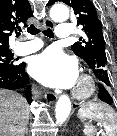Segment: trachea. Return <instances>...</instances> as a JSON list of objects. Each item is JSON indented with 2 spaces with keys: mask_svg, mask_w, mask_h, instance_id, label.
Here are the masks:
<instances>
[{
  "mask_svg": "<svg viewBox=\"0 0 117 136\" xmlns=\"http://www.w3.org/2000/svg\"><path fill=\"white\" fill-rule=\"evenodd\" d=\"M27 31H28V33H30L31 35H37L39 32H40V30L39 29H37L35 26H33V25H31L29 28H27ZM43 34L45 35V36H47V37H49V38H53L54 37V33H53V31L51 30V29H47V30H45V31H43ZM19 35H20V33H19Z\"/></svg>",
  "mask_w": 117,
  "mask_h": 136,
  "instance_id": "obj_1",
  "label": "trachea"
}]
</instances>
